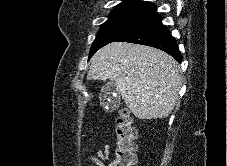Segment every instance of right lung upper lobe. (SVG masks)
<instances>
[{
	"label": "right lung upper lobe",
	"mask_w": 227,
	"mask_h": 166,
	"mask_svg": "<svg viewBox=\"0 0 227 166\" xmlns=\"http://www.w3.org/2000/svg\"><path fill=\"white\" fill-rule=\"evenodd\" d=\"M119 5H147V6H155L151 2L142 1V0H124Z\"/></svg>",
	"instance_id": "1"
}]
</instances>
